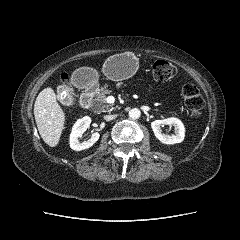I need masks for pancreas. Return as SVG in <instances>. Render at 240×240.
<instances>
[{
    "label": "pancreas",
    "instance_id": "pancreas-1",
    "mask_svg": "<svg viewBox=\"0 0 240 240\" xmlns=\"http://www.w3.org/2000/svg\"><path fill=\"white\" fill-rule=\"evenodd\" d=\"M120 83L118 84V87H120ZM111 93V90L108 89V86L105 85L104 87H101L97 93L96 98L93 102V110L95 112H105L110 109L112 105L106 104L107 95Z\"/></svg>",
    "mask_w": 240,
    "mask_h": 240
}]
</instances>
